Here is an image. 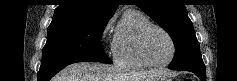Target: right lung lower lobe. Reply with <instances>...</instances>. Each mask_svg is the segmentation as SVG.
Masks as SVG:
<instances>
[{"label":"right lung lower lobe","instance_id":"98d812e1","mask_svg":"<svg viewBox=\"0 0 237 81\" xmlns=\"http://www.w3.org/2000/svg\"><path fill=\"white\" fill-rule=\"evenodd\" d=\"M95 61L102 62L95 58H59L47 59L41 62V67L38 73V81H49L56 73L62 70L67 65L76 62Z\"/></svg>","mask_w":237,"mask_h":81}]
</instances>
